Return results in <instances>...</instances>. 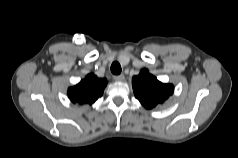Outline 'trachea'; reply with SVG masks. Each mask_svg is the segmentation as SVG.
<instances>
[{"mask_svg": "<svg viewBox=\"0 0 238 158\" xmlns=\"http://www.w3.org/2000/svg\"><path fill=\"white\" fill-rule=\"evenodd\" d=\"M111 72L114 75H119L121 73V66L118 62H113L111 65Z\"/></svg>", "mask_w": 238, "mask_h": 158, "instance_id": "3493384b", "label": "trachea"}]
</instances>
